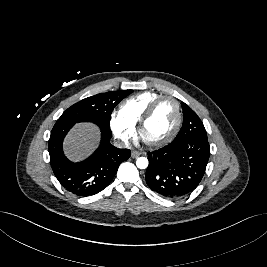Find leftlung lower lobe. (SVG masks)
<instances>
[{"label":"left lung lower lobe","instance_id":"obj_1","mask_svg":"<svg viewBox=\"0 0 267 267\" xmlns=\"http://www.w3.org/2000/svg\"><path fill=\"white\" fill-rule=\"evenodd\" d=\"M147 185L166 198H181L200 183L208 163V139L187 138L149 152Z\"/></svg>","mask_w":267,"mask_h":267}]
</instances>
